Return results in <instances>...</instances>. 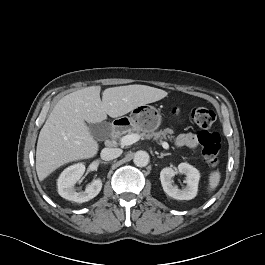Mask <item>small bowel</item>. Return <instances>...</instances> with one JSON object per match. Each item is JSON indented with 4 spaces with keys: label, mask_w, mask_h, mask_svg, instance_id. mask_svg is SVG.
Instances as JSON below:
<instances>
[{
    "label": "small bowel",
    "mask_w": 265,
    "mask_h": 265,
    "mask_svg": "<svg viewBox=\"0 0 265 265\" xmlns=\"http://www.w3.org/2000/svg\"><path fill=\"white\" fill-rule=\"evenodd\" d=\"M176 145L179 147L195 148L198 145L197 136L192 133L180 134L176 138Z\"/></svg>",
    "instance_id": "c3829d8e"
}]
</instances>
